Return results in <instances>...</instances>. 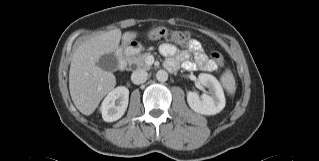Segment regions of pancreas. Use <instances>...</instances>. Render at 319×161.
<instances>
[{
    "label": "pancreas",
    "mask_w": 319,
    "mask_h": 161,
    "mask_svg": "<svg viewBox=\"0 0 319 161\" xmlns=\"http://www.w3.org/2000/svg\"><path fill=\"white\" fill-rule=\"evenodd\" d=\"M150 53L131 55L127 58L129 64H135L139 69L149 70L151 66L146 62Z\"/></svg>",
    "instance_id": "obj_1"
}]
</instances>
